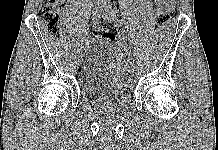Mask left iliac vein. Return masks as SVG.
<instances>
[{"label": "left iliac vein", "instance_id": "left-iliac-vein-1", "mask_svg": "<svg viewBox=\"0 0 218 150\" xmlns=\"http://www.w3.org/2000/svg\"><path fill=\"white\" fill-rule=\"evenodd\" d=\"M101 17L110 22H117L119 19V15L117 11L111 9L109 6H106L104 10L101 12ZM128 76H133V69H128Z\"/></svg>", "mask_w": 218, "mask_h": 150}]
</instances>
